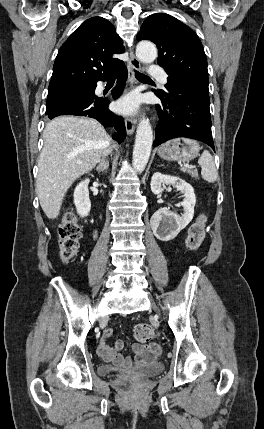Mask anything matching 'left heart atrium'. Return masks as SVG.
<instances>
[{
  "instance_id": "obj_1",
  "label": "left heart atrium",
  "mask_w": 264,
  "mask_h": 429,
  "mask_svg": "<svg viewBox=\"0 0 264 429\" xmlns=\"http://www.w3.org/2000/svg\"><path fill=\"white\" fill-rule=\"evenodd\" d=\"M140 104V99L136 94H130L121 98L116 105L117 110L123 114L134 113Z\"/></svg>"
}]
</instances>
